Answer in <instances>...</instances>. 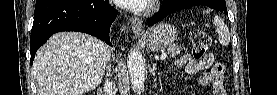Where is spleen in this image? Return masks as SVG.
<instances>
[{
    "label": "spleen",
    "instance_id": "1",
    "mask_svg": "<svg viewBox=\"0 0 277 95\" xmlns=\"http://www.w3.org/2000/svg\"><path fill=\"white\" fill-rule=\"evenodd\" d=\"M214 25L218 33V40L221 45L227 46L230 42V33L228 27L225 25L224 21L216 16L214 17Z\"/></svg>",
    "mask_w": 277,
    "mask_h": 95
}]
</instances>
